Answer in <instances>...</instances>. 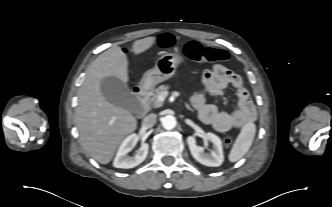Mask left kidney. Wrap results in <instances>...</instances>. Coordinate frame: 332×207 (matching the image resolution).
<instances>
[{"label": "left kidney", "mask_w": 332, "mask_h": 207, "mask_svg": "<svg viewBox=\"0 0 332 207\" xmlns=\"http://www.w3.org/2000/svg\"><path fill=\"white\" fill-rule=\"evenodd\" d=\"M205 139L213 144V149L211 150L210 154H205L204 148L196 145L193 136H189L187 138V143L191 155L195 160H197L199 163L205 166H210V167L220 166L224 161L221 139L217 135L210 132L205 134Z\"/></svg>", "instance_id": "left-kidney-1"}]
</instances>
